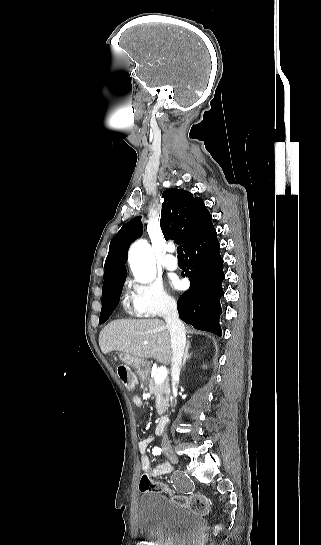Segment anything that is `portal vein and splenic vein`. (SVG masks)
Segmentation results:
<instances>
[{
    "label": "portal vein and splenic vein",
    "instance_id": "obj_1",
    "mask_svg": "<svg viewBox=\"0 0 321 545\" xmlns=\"http://www.w3.org/2000/svg\"><path fill=\"white\" fill-rule=\"evenodd\" d=\"M168 375V371L167 369H165V367H159V369H157V373L154 377V383L155 385H159V383H163L164 379H166Z\"/></svg>",
    "mask_w": 321,
    "mask_h": 545
}]
</instances>
